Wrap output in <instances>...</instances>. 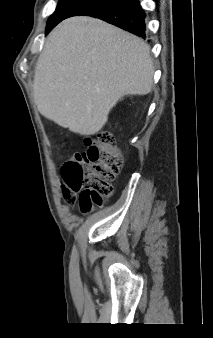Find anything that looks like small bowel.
<instances>
[{
	"mask_svg": "<svg viewBox=\"0 0 213 338\" xmlns=\"http://www.w3.org/2000/svg\"><path fill=\"white\" fill-rule=\"evenodd\" d=\"M63 197L66 199V200H70L71 198H72V196L67 192V191H65L64 193H63ZM79 204H80V200H81V195L79 196Z\"/></svg>",
	"mask_w": 213,
	"mask_h": 338,
	"instance_id": "c3829d8e",
	"label": "small bowel"
}]
</instances>
